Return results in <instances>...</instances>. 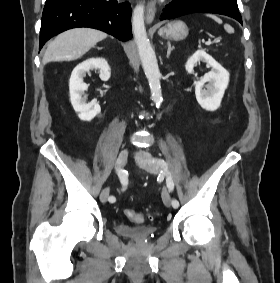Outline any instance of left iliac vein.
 Segmentation results:
<instances>
[{
	"instance_id": "1",
	"label": "left iliac vein",
	"mask_w": 280,
	"mask_h": 283,
	"mask_svg": "<svg viewBox=\"0 0 280 283\" xmlns=\"http://www.w3.org/2000/svg\"><path fill=\"white\" fill-rule=\"evenodd\" d=\"M135 158L138 164L147 172L151 174H157L159 172V165L149 152L138 151L135 154ZM162 199L167 207L171 206L170 196L166 189H163L162 191Z\"/></svg>"
}]
</instances>
